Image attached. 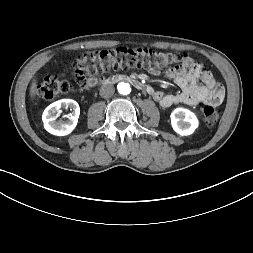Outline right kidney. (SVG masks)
Listing matches in <instances>:
<instances>
[{"label": "right kidney", "mask_w": 253, "mask_h": 253, "mask_svg": "<svg viewBox=\"0 0 253 253\" xmlns=\"http://www.w3.org/2000/svg\"><path fill=\"white\" fill-rule=\"evenodd\" d=\"M62 107L70 108L72 113L69 114L67 121L56 120V114ZM80 109L76 101L72 99H61L50 104L43 112L42 121L44 128L51 134L65 136L70 134L77 125Z\"/></svg>", "instance_id": "ca27d5eb"}]
</instances>
